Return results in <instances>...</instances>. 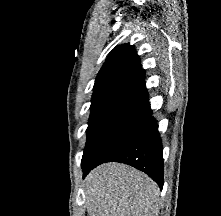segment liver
Returning a JSON list of instances; mask_svg holds the SVG:
<instances>
[{
    "label": "liver",
    "instance_id": "1",
    "mask_svg": "<svg viewBox=\"0 0 221 216\" xmlns=\"http://www.w3.org/2000/svg\"><path fill=\"white\" fill-rule=\"evenodd\" d=\"M90 216H155L160 189L146 174L121 163L102 164L84 184Z\"/></svg>",
    "mask_w": 221,
    "mask_h": 216
}]
</instances>
